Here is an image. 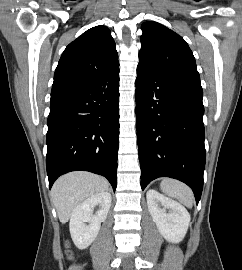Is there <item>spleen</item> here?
<instances>
[{
    "mask_svg": "<svg viewBox=\"0 0 242 270\" xmlns=\"http://www.w3.org/2000/svg\"><path fill=\"white\" fill-rule=\"evenodd\" d=\"M163 193L177 199L180 203L191 208L194 203L192 190L184 183L174 179H163L160 184Z\"/></svg>",
    "mask_w": 242,
    "mask_h": 270,
    "instance_id": "1",
    "label": "spleen"
}]
</instances>
